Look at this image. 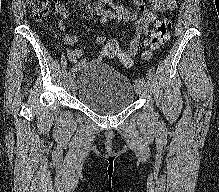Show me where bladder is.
<instances>
[{"mask_svg":"<svg viewBox=\"0 0 219 192\" xmlns=\"http://www.w3.org/2000/svg\"><path fill=\"white\" fill-rule=\"evenodd\" d=\"M76 96L86 108L110 115L134 103L135 88L125 75L113 67L89 62L78 69Z\"/></svg>","mask_w":219,"mask_h":192,"instance_id":"bladder-1","label":"bladder"}]
</instances>
